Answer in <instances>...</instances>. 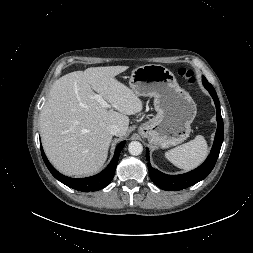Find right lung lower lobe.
I'll use <instances>...</instances> for the list:
<instances>
[{"label":"right lung lower lobe","instance_id":"obj_1","mask_svg":"<svg viewBox=\"0 0 253 253\" xmlns=\"http://www.w3.org/2000/svg\"><path fill=\"white\" fill-rule=\"evenodd\" d=\"M125 143L126 142L123 141L117 145L113 159L102 172H100L99 174L95 176H91L87 178H79V179L70 178L59 173L47 160V157L45 156L43 152L41 144H40V148H41L42 158L47 168L57 180L67 185L68 187H71L78 191L90 192V191L101 190L112 181L115 174V169L118 163L119 154L122 148L124 147Z\"/></svg>","mask_w":253,"mask_h":253}]
</instances>
